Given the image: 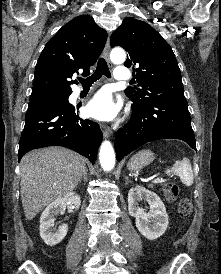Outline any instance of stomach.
Segmentation results:
<instances>
[{
    "label": "stomach",
    "instance_id": "0dacf381",
    "mask_svg": "<svg viewBox=\"0 0 221 274\" xmlns=\"http://www.w3.org/2000/svg\"><path fill=\"white\" fill-rule=\"evenodd\" d=\"M154 160V154L150 150H142L134 155L128 162V169L136 172L148 166Z\"/></svg>",
    "mask_w": 221,
    "mask_h": 274
}]
</instances>
